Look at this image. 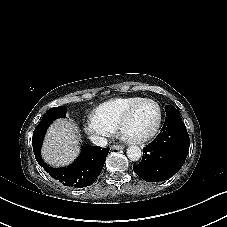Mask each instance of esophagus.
Listing matches in <instances>:
<instances>
[{
    "mask_svg": "<svg viewBox=\"0 0 227 227\" xmlns=\"http://www.w3.org/2000/svg\"><path fill=\"white\" fill-rule=\"evenodd\" d=\"M125 146L124 145H117V144H114L111 146L112 149H123Z\"/></svg>",
    "mask_w": 227,
    "mask_h": 227,
    "instance_id": "esophagus-1",
    "label": "esophagus"
}]
</instances>
